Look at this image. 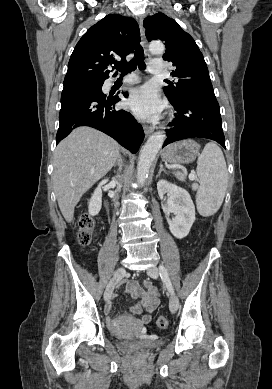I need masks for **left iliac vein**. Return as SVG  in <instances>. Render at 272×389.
<instances>
[{
    "label": "left iliac vein",
    "instance_id": "left-iliac-vein-1",
    "mask_svg": "<svg viewBox=\"0 0 272 389\" xmlns=\"http://www.w3.org/2000/svg\"><path fill=\"white\" fill-rule=\"evenodd\" d=\"M147 274L151 277V278H157L159 276V269L156 267V266H152L150 267L148 270H147ZM169 297H170V302H169V308H170V311L172 313H175L178 309V306H179V301H178V298L176 295H174V293H171L169 294Z\"/></svg>",
    "mask_w": 272,
    "mask_h": 389
}]
</instances>
